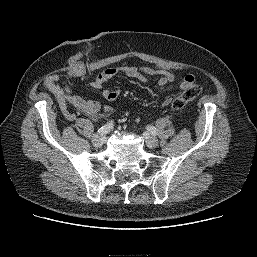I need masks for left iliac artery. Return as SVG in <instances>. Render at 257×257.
<instances>
[{
  "mask_svg": "<svg viewBox=\"0 0 257 257\" xmlns=\"http://www.w3.org/2000/svg\"><path fill=\"white\" fill-rule=\"evenodd\" d=\"M147 130L150 131L153 135L157 134V129L154 126H148Z\"/></svg>",
  "mask_w": 257,
  "mask_h": 257,
  "instance_id": "44dca946",
  "label": "left iliac artery"
}]
</instances>
